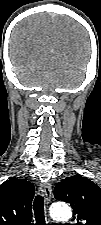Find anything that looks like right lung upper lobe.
<instances>
[{
    "instance_id": "1",
    "label": "right lung upper lobe",
    "mask_w": 101,
    "mask_h": 225,
    "mask_svg": "<svg viewBox=\"0 0 101 225\" xmlns=\"http://www.w3.org/2000/svg\"><path fill=\"white\" fill-rule=\"evenodd\" d=\"M35 189L31 182L11 178L0 186V225H32V199Z\"/></svg>"
}]
</instances>
